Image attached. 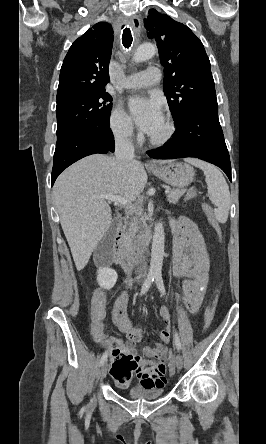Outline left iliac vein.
<instances>
[{"label":"left iliac vein","mask_w":266,"mask_h":444,"mask_svg":"<svg viewBox=\"0 0 266 444\" xmlns=\"http://www.w3.org/2000/svg\"><path fill=\"white\" fill-rule=\"evenodd\" d=\"M175 362L177 369L181 370L183 367V357L181 354H177Z\"/></svg>","instance_id":"left-iliac-vein-1"}]
</instances>
